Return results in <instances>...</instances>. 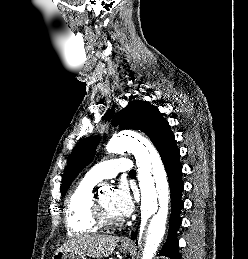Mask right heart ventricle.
Instances as JSON below:
<instances>
[{"instance_id":"obj_1","label":"right heart ventricle","mask_w":248,"mask_h":259,"mask_svg":"<svg viewBox=\"0 0 248 259\" xmlns=\"http://www.w3.org/2000/svg\"><path fill=\"white\" fill-rule=\"evenodd\" d=\"M96 182L84 177L71 190L66 201L65 220L70 235L96 233L100 226L92 214Z\"/></svg>"}]
</instances>
